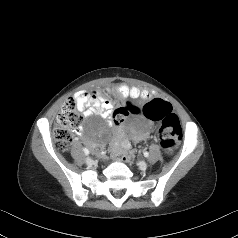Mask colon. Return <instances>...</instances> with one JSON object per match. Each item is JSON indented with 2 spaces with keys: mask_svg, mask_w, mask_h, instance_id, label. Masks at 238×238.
I'll use <instances>...</instances> for the list:
<instances>
[{
  "mask_svg": "<svg viewBox=\"0 0 238 238\" xmlns=\"http://www.w3.org/2000/svg\"><path fill=\"white\" fill-rule=\"evenodd\" d=\"M116 94L120 98L145 100L149 96V91L141 85L129 87L120 85L116 89ZM139 111L134 106L117 108L112 112V120L116 125H120L129 113ZM142 113L152 121L161 122L159 129L161 147L167 153L172 152L182 139V130L179 118L172 112L171 105L161 99H153L142 108ZM81 119L82 113L77 101L74 98L67 99L56 119L53 131L56 147L60 151L64 152L70 148L72 134L79 128ZM111 156L115 160L124 162L131 160L128 149L123 147L119 141L112 147Z\"/></svg>",
  "mask_w": 238,
  "mask_h": 238,
  "instance_id": "obj_1",
  "label": "colon"
}]
</instances>
